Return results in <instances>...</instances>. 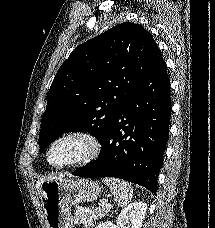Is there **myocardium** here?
Instances as JSON below:
<instances>
[{
	"label": "myocardium",
	"instance_id": "f54148a6",
	"mask_svg": "<svg viewBox=\"0 0 215 228\" xmlns=\"http://www.w3.org/2000/svg\"><path fill=\"white\" fill-rule=\"evenodd\" d=\"M77 141L82 145L81 153L73 160L63 164L54 165L49 161L51 151L64 141ZM101 150V144L97 136L88 130L74 129L66 131L55 137L47 146L44 153V161L48 167L55 170H61L72 166L87 163L97 157Z\"/></svg>",
	"mask_w": 215,
	"mask_h": 228
}]
</instances>
